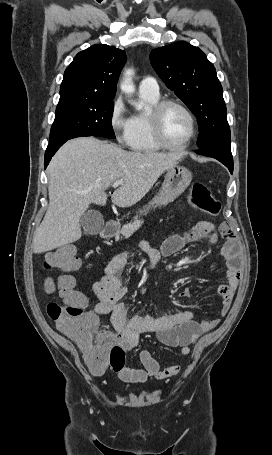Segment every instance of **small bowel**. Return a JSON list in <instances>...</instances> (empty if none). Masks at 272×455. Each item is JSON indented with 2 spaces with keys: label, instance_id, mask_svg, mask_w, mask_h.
Returning <instances> with one entry per match:
<instances>
[{
  "label": "small bowel",
  "instance_id": "c3829d8e",
  "mask_svg": "<svg viewBox=\"0 0 272 455\" xmlns=\"http://www.w3.org/2000/svg\"><path fill=\"white\" fill-rule=\"evenodd\" d=\"M220 237L225 239L221 253L226 261V282L219 285L217 292L222 298L220 317H224L231 305L234 293L240 283L241 267L238 245L229 224L223 223L216 228L211 222L199 221L190 230L182 234L167 237L160 249L154 248L148 241L139 245V250L149 256L150 269H154L161 257L171 256L191 242L206 239L215 245ZM132 257V253L124 251L113 257L104 269V274L93 285L96 303L89 312L97 320L98 315H109L113 331H102L100 336L119 344L129 351L139 344L140 335L154 333L158 340L169 347L179 348L181 355H188L190 345L205 332L213 329L219 318L198 322L189 310H181L168 314H134L130 315L128 307L122 302L127 292L121 272ZM146 284L140 287V293L146 292ZM181 297H190L191 291L185 288ZM179 365L161 367L159 362L147 350L140 352L135 367H123L117 370L118 377L124 383H144L150 377L166 379L179 373Z\"/></svg>",
  "mask_w": 272,
  "mask_h": 455
}]
</instances>
